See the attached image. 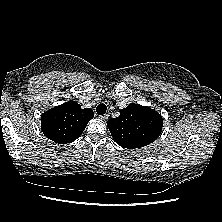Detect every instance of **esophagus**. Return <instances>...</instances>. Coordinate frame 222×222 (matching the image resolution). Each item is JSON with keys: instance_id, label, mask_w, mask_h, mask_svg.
Wrapping results in <instances>:
<instances>
[{"instance_id": "obj_1", "label": "esophagus", "mask_w": 222, "mask_h": 222, "mask_svg": "<svg viewBox=\"0 0 222 222\" xmlns=\"http://www.w3.org/2000/svg\"><path fill=\"white\" fill-rule=\"evenodd\" d=\"M98 117L102 120H106L108 118V115L104 114V115H99Z\"/></svg>"}]
</instances>
